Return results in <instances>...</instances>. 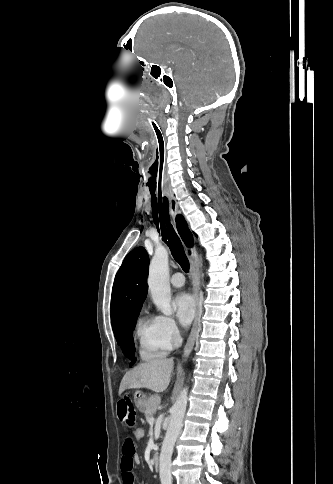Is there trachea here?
I'll return each instance as SVG.
<instances>
[{
    "instance_id": "trachea-1",
    "label": "trachea",
    "mask_w": 333,
    "mask_h": 484,
    "mask_svg": "<svg viewBox=\"0 0 333 484\" xmlns=\"http://www.w3.org/2000/svg\"><path fill=\"white\" fill-rule=\"evenodd\" d=\"M154 138V154L152 164L151 183L153 186V196L151 198L152 215L154 224L162 240L169 246L171 254L176 262L179 263L184 272L189 271V261L183 249L182 243L177 236L171 222L168 210V199L164 189V176L167 151V133L165 130L157 128L152 123Z\"/></svg>"
}]
</instances>
